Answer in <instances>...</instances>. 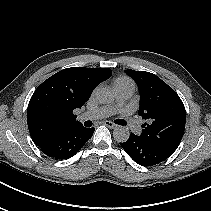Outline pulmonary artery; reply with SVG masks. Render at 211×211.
I'll use <instances>...</instances> for the list:
<instances>
[{"label": "pulmonary artery", "mask_w": 211, "mask_h": 211, "mask_svg": "<svg viewBox=\"0 0 211 211\" xmlns=\"http://www.w3.org/2000/svg\"><path fill=\"white\" fill-rule=\"evenodd\" d=\"M134 92V88L132 87H122L116 89V94L119 102V107H122V109L125 110L124 106L127 103V101L130 99ZM116 111V108L112 106H103L91 111H87L82 113L79 116V120L84 121V120H97V119H102L105 117H108L112 115ZM136 131H139V128H135Z\"/></svg>", "instance_id": "pulmonary-artery-1"}]
</instances>
